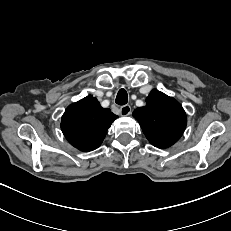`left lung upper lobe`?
I'll use <instances>...</instances> for the list:
<instances>
[{"instance_id":"5c2ea615","label":"left lung upper lobe","mask_w":231,"mask_h":231,"mask_svg":"<svg viewBox=\"0 0 231 231\" xmlns=\"http://www.w3.org/2000/svg\"><path fill=\"white\" fill-rule=\"evenodd\" d=\"M147 105L134 110L146 138L158 148H167L182 136L187 118L182 105L172 97L154 89Z\"/></svg>"}]
</instances>
